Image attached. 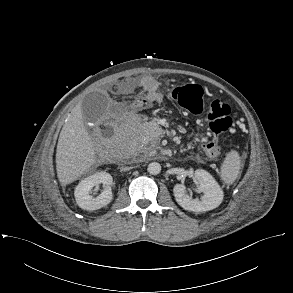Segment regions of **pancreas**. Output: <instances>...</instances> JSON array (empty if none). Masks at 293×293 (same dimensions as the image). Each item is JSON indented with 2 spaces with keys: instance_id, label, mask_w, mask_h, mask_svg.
<instances>
[{
  "instance_id": "pancreas-1",
  "label": "pancreas",
  "mask_w": 293,
  "mask_h": 293,
  "mask_svg": "<svg viewBox=\"0 0 293 293\" xmlns=\"http://www.w3.org/2000/svg\"><path fill=\"white\" fill-rule=\"evenodd\" d=\"M132 134H134L133 132H128L127 133V135L129 136V135H132ZM126 139V134L124 135V136H122V141L123 140H125ZM156 143H157V140H154L153 142H152V144H153V146H155L156 145Z\"/></svg>"
}]
</instances>
